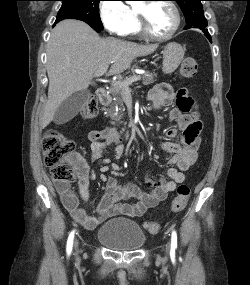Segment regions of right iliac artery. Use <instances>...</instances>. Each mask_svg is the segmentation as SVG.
<instances>
[{"label": "right iliac artery", "mask_w": 250, "mask_h": 285, "mask_svg": "<svg viewBox=\"0 0 250 285\" xmlns=\"http://www.w3.org/2000/svg\"><path fill=\"white\" fill-rule=\"evenodd\" d=\"M74 234H75V230H73L67 240V246H66V251L67 254L70 255L71 251H72V247H73V239H74Z\"/></svg>", "instance_id": "obj_1"}]
</instances>
